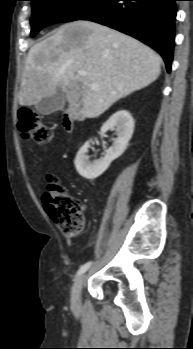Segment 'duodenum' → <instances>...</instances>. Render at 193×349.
<instances>
[{
    "instance_id": "duodenum-1",
    "label": "duodenum",
    "mask_w": 193,
    "mask_h": 349,
    "mask_svg": "<svg viewBox=\"0 0 193 349\" xmlns=\"http://www.w3.org/2000/svg\"><path fill=\"white\" fill-rule=\"evenodd\" d=\"M64 126L66 129H70L71 128V122L68 119L64 120Z\"/></svg>"
}]
</instances>
